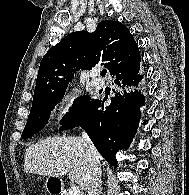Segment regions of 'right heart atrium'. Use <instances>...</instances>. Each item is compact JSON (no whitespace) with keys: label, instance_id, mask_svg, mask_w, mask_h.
Segmentation results:
<instances>
[{"label":"right heart atrium","instance_id":"obj_1","mask_svg":"<svg viewBox=\"0 0 189 195\" xmlns=\"http://www.w3.org/2000/svg\"><path fill=\"white\" fill-rule=\"evenodd\" d=\"M76 106V95L73 91H66L58 103V113L63 119L73 116Z\"/></svg>","mask_w":189,"mask_h":195}]
</instances>
